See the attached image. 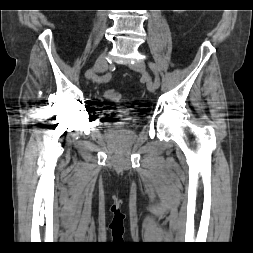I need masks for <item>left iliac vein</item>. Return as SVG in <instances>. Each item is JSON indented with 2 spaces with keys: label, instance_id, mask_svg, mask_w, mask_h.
I'll use <instances>...</instances> for the list:
<instances>
[{
  "label": "left iliac vein",
  "instance_id": "obj_1",
  "mask_svg": "<svg viewBox=\"0 0 253 253\" xmlns=\"http://www.w3.org/2000/svg\"><path fill=\"white\" fill-rule=\"evenodd\" d=\"M131 69H133L134 71L140 72L143 75V77H144L147 89L150 92H155L156 87H155V85H154V83L152 81L151 76L147 72L146 65H145V63L143 61H137L134 65L131 66Z\"/></svg>",
  "mask_w": 253,
  "mask_h": 253
}]
</instances>
